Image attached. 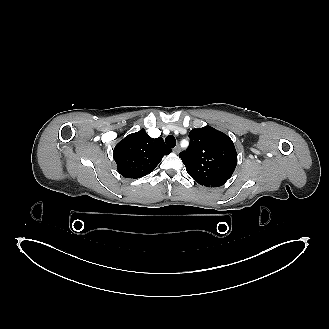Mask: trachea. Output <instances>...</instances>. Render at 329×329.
Returning a JSON list of instances; mask_svg holds the SVG:
<instances>
[{
	"mask_svg": "<svg viewBox=\"0 0 329 329\" xmlns=\"http://www.w3.org/2000/svg\"><path fill=\"white\" fill-rule=\"evenodd\" d=\"M165 142L171 148H174L175 145H176V140H175V138L172 135L167 136L165 138Z\"/></svg>",
	"mask_w": 329,
	"mask_h": 329,
	"instance_id": "3493384b",
	"label": "trachea"
}]
</instances>
